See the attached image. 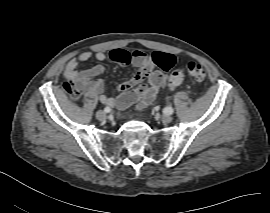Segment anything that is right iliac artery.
Listing matches in <instances>:
<instances>
[{"mask_svg": "<svg viewBox=\"0 0 270 213\" xmlns=\"http://www.w3.org/2000/svg\"><path fill=\"white\" fill-rule=\"evenodd\" d=\"M104 112H105V113H110V112H111V108L108 107V106L105 107V108H104Z\"/></svg>", "mask_w": 270, "mask_h": 213, "instance_id": "82829eb1", "label": "right iliac artery"}]
</instances>
